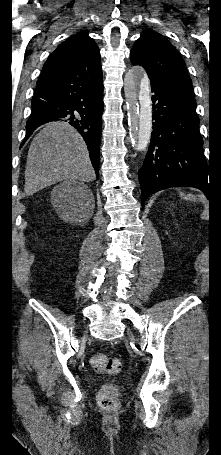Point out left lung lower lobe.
I'll return each instance as SVG.
<instances>
[{
	"label": "left lung lower lobe",
	"instance_id": "0a47b994",
	"mask_svg": "<svg viewBox=\"0 0 221 455\" xmlns=\"http://www.w3.org/2000/svg\"><path fill=\"white\" fill-rule=\"evenodd\" d=\"M153 131L138 173L142 206L152 194L175 186L195 187L208 195V169L199 132L196 103L151 82Z\"/></svg>",
	"mask_w": 221,
	"mask_h": 455
}]
</instances>
